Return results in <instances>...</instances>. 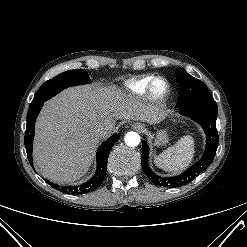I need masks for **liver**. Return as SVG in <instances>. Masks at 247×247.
<instances>
[{
	"label": "liver",
	"mask_w": 247,
	"mask_h": 247,
	"mask_svg": "<svg viewBox=\"0 0 247 247\" xmlns=\"http://www.w3.org/2000/svg\"><path fill=\"white\" fill-rule=\"evenodd\" d=\"M166 115L160 106L144 103L115 86L68 88L51 99L38 117L35 167L54 183H72L87 173L100 140L110 135L116 120L153 124ZM99 123L109 127L105 136L94 132Z\"/></svg>",
	"instance_id": "1"
}]
</instances>
